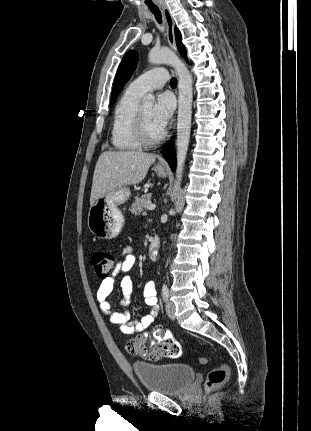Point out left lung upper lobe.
<instances>
[{
  "instance_id": "5c2ea615",
  "label": "left lung upper lobe",
  "mask_w": 311,
  "mask_h": 431,
  "mask_svg": "<svg viewBox=\"0 0 311 431\" xmlns=\"http://www.w3.org/2000/svg\"><path fill=\"white\" fill-rule=\"evenodd\" d=\"M175 37H176V43H177V48L179 50V53L187 61L186 50L184 45L181 42V34L177 28H175ZM137 59H138V54L136 51H133V50L126 53L122 58L115 76L110 106H113L124 84L128 81V79L134 72Z\"/></svg>"
}]
</instances>
